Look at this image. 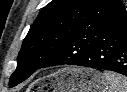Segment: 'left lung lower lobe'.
<instances>
[{
  "mask_svg": "<svg viewBox=\"0 0 127 92\" xmlns=\"http://www.w3.org/2000/svg\"><path fill=\"white\" fill-rule=\"evenodd\" d=\"M79 65L127 76V12L124 5L76 34L41 67Z\"/></svg>",
  "mask_w": 127,
  "mask_h": 92,
  "instance_id": "0a47b994",
  "label": "left lung lower lobe"
}]
</instances>
